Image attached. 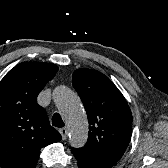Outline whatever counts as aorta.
<instances>
[{"label":"aorta","mask_w":168,"mask_h":168,"mask_svg":"<svg viewBox=\"0 0 168 168\" xmlns=\"http://www.w3.org/2000/svg\"><path fill=\"white\" fill-rule=\"evenodd\" d=\"M52 96L68 124L70 145L74 148L83 147L88 138V121L80 98L65 86H57Z\"/></svg>","instance_id":"762f6f07"}]
</instances>
